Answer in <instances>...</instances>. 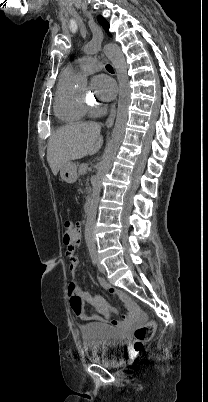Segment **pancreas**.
<instances>
[{
	"instance_id": "pancreas-1",
	"label": "pancreas",
	"mask_w": 208,
	"mask_h": 402,
	"mask_svg": "<svg viewBox=\"0 0 208 402\" xmlns=\"http://www.w3.org/2000/svg\"><path fill=\"white\" fill-rule=\"evenodd\" d=\"M85 166H87V164H81V166H79V168H78V174H86V172H84V170H87V168H85ZM86 186H87V188H86V194H88V196H90V194H91V188H90V186H89V178H88V180H87V182H86Z\"/></svg>"
}]
</instances>
